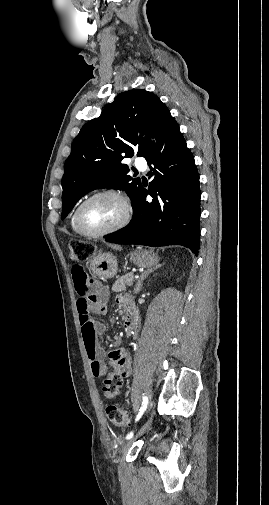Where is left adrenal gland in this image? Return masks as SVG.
<instances>
[{
  "label": "left adrenal gland",
  "mask_w": 269,
  "mask_h": 505,
  "mask_svg": "<svg viewBox=\"0 0 269 505\" xmlns=\"http://www.w3.org/2000/svg\"><path fill=\"white\" fill-rule=\"evenodd\" d=\"M161 267H162V264H157L155 267L150 268V269L144 271L141 274L139 280L137 281V284H136V286L134 288V294H138L141 291V289H142V283H143L144 279H146L150 273L154 272L155 270H157V269H159Z\"/></svg>",
  "instance_id": "1"
}]
</instances>
